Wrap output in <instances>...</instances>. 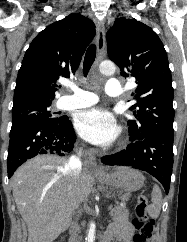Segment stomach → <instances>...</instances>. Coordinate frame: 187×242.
Wrapping results in <instances>:
<instances>
[{"label": "stomach", "instance_id": "obj_1", "mask_svg": "<svg viewBox=\"0 0 187 242\" xmlns=\"http://www.w3.org/2000/svg\"><path fill=\"white\" fill-rule=\"evenodd\" d=\"M97 179L122 193L121 199L126 200L132 192L142 188L144 176L138 170L123 167L111 174H96Z\"/></svg>", "mask_w": 187, "mask_h": 242}]
</instances>
